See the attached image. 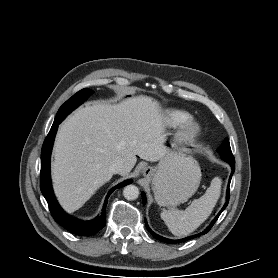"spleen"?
I'll use <instances>...</instances> for the list:
<instances>
[{"instance_id":"1","label":"spleen","mask_w":278,"mask_h":278,"mask_svg":"<svg viewBox=\"0 0 278 278\" xmlns=\"http://www.w3.org/2000/svg\"><path fill=\"white\" fill-rule=\"evenodd\" d=\"M221 179L215 177L210 187L199 199H195L185 211L163 210L160 214L168 229L175 236H186L195 231L212 213L221 190Z\"/></svg>"}]
</instances>
